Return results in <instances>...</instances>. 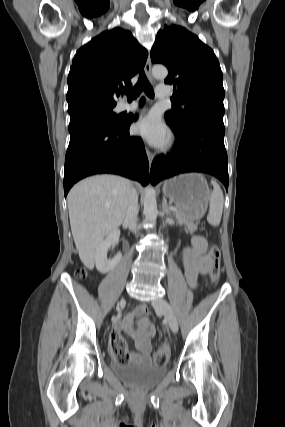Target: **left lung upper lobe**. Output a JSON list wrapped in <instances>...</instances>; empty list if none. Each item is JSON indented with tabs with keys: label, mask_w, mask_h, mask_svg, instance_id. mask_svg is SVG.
<instances>
[{
	"label": "left lung upper lobe",
	"mask_w": 285,
	"mask_h": 427,
	"mask_svg": "<svg viewBox=\"0 0 285 427\" xmlns=\"http://www.w3.org/2000/svg\"><path fill=\"white\" fill-rule=\"evenodd\" d=\"M153 63L168 70L166 84H173L176 104L165 113L175 127L186 129L202 118L223 122L224 88L220 64L211 48L177 25L165 26L151 49Z\"/></svg>",
	"instance_id": "1"
}]
</instances>
